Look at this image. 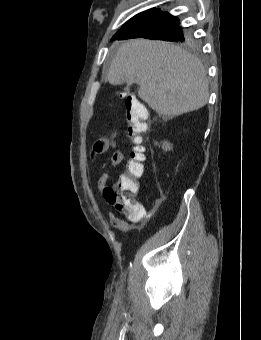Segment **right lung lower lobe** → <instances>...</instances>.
Wrapping results in <instances>:
<instances>
[{
    "label": "right lung lower lobe",
    "mask_w": 261,
    "mask_h": 340,
    "mask_svg": "<svg viewBox=\"0 0 261 340\" xmlns=\"http://www.w3.org/2000/svg\"><path fill=\"white\" fill-rule=\"evenodd\" d=\"M182 31L176 17L169 13H164L160 9H154L117 39L144 37L169 41L173 36Z\"/></svg>",
    "instance_id": "98d812e1"
}]
</instances>
